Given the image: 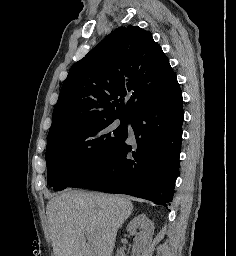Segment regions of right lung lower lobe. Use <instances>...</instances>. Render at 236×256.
I'll return each mask as SVG.
<instances>
[{
  "instance_id": "1",
  "label": "right lung lower lobe",
  "mask_w": 236,
  "mask_h": 256,
  "mask_svg": "<svg viewBox=\"0 0 236 256\" xmlns=\"http://www.w3.org/2000/svg\"><path fill=\"white\" fill-rule=\"evenodd\" d=\"M184 119L179 84L148 100L131 118L135 140L127 135L107 157L69 187L128 194L170 205L179 172ZM131 141V145L129 144Z\"/></svg>"
}]
</instances>
